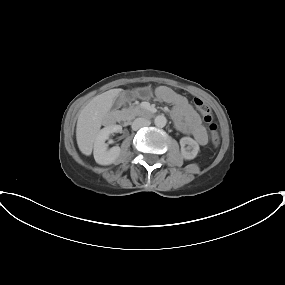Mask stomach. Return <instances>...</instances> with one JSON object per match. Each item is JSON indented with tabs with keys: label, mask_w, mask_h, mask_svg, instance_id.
<instances>
[{
	"label": "stomach",
	"mask_w": 285,
	"mask_h": 285,
	"mask_svg": "<svg viewBox=\"0 0 285 285\" xmlns=\"http://www.w3.org/2000/svg\"><path fill=\"white\" fill-rule=\"evenodd\" d=\"M151 95V91L148 88H139L133 92V97L148 99Z\"/></svg>",
	"instance_id": "stomach-1"
}]
</instances>
